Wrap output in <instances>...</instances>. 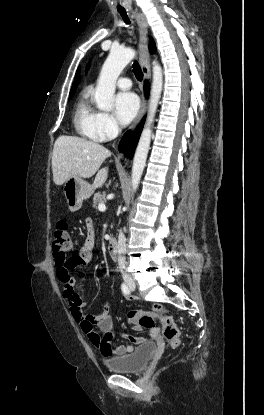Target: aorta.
Here are the masks:
<instances>
[{
	"label": "aorta",
	"instance_id": "aorta-1",
	"mask_svg": "<svg viewBox=\"0 0 264 415\" xmlns=\"http://www.w3.org/2000/svg\"><path fill=\"white\" fill-rule=\"evenodd\" d=\"M134 56L135 51L130 48L111 49L110 54L102 66L94 93L97 107L100 110H112L117 78ZM162 87V69L159 64L153 62V82L150 93L147 120L137 145L132 165L131 184L133 191H136L138 188L146 165L152 136L151 127L154 122L155 113L161 97Z\"/></svg>",
	"mask_w": 264,
	"mask_h": 415
}]
</instances>
